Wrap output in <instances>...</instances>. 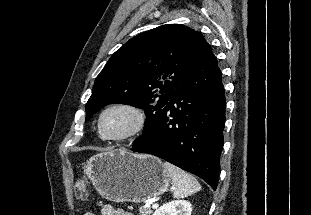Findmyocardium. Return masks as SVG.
<instances>
[{
    "instance_id": "obj_1",
    "label": "myocardium",
    "mask_w": 311,
    "mask_h": 215,
    "mask_svg": "<svg viewBox=\"0 0 311 215\" xmlns=\"http://www.w3.org/2000/svg\"><path fill=\"white\" fill-rule=\"evenodd\" d=\"M113 109H125L130 111L135 116V123L130 130L120 135H106L102 129V120L107 112ZM146 126V114L145 112L135 104L128 102H115L106 106L99 114L97 120V129L100 137L107 141L122 142L132 139L140 135Z\"/></svg>"
}]
</instances>
